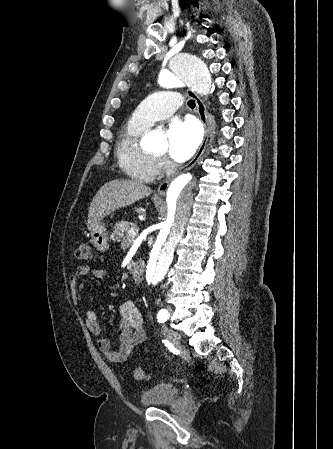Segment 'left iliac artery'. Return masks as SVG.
I'll return each instance as SVG.
<instances>
[{"instance_id": "obj_1", "label": "left iliac artery", "mask_w": 333, "mask_h": 449, "mask_svg": "<svg viewBox=\"0 0 333 449\" xmlns=\"http://www.w3.org/2000/svg\"><path fill=\"white\" fill-rule=\"evenodd\" d=\"M169 317V313L166 309H161L157 314V319L159 323H164Z\"/></svg>"}]
</instances>
